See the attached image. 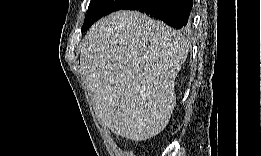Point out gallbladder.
<instances>
[{
	"label": "gallbladder",
	"instance_id": "obj_1",
	"mask_svg": "<svg viewBox=\"0 0 261 156\" xmlns=\"http://www.w3.org/2000/svg\"><path fill=\"white\" fill-rule=\"evenodd\" d=\"M121 114H118V113H114L113 116H119ZM114 118H122V117H114ZM116 123H123V122H116Z\"/></svg>",
	"mask_w": 261,
	"mask_h": 156
}]
</instances>
